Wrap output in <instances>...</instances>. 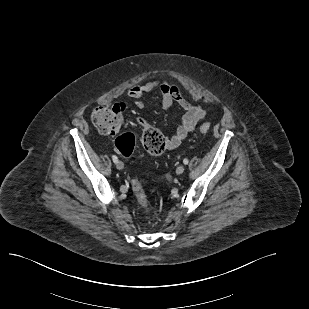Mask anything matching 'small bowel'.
<instances>
[{"label":"small bowel","mask_w":309,"mask_h":309,"mask_svg":"<svg viewBox=\"0 0 309 309\" xmlns=\"http://www.w3.org/2000/svg\"><path fill=\"white\" fill-rule=\"evenodd\" d=\"M153 91L160 93L164 109L179 107L183 111L174 135L166 139L165 148L169 150L175 149L205 119L206 111L200 106L188 103L182 97L178 86L167 80H149L144 84L134 85L128 89L127 94L129 98L134 100L135 106L142 109L145 106L142 98L145 94ZM138 123L143 128L148 125L143 118H139Z\"/></svg>","instance_id":"obj_1"}]
</instances>
